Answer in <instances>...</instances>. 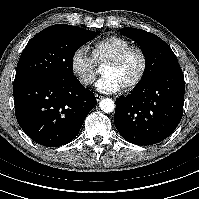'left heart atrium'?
I'll return each mask as SVG.
<instances>
[{"instance_id":"39dd6f15","label":"left heart atrium","mask_w":199,"mask_h":199,"mask_svg":"<svg viewBox=\"0 0 199 199\" xmlns=\"http://www.w3.org/2000/svg\"><path fill=\"white\" fill-rule=\"evenodd\" d=\"M121 85L112 77L103 76L97 83L96 89L103 93L113 94L121 89Z\"/></svg>"}]
</instances>
